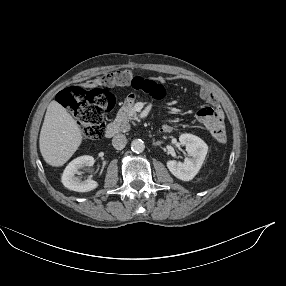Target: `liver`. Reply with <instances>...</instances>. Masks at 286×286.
<instances>
[{
    "instance_id": "liver-1",
    "label": "liver",
    "mask_w": 286,
    "mask_h": 286,
    "mask_svg": "<svg viewBox=\"0 0 286 286\" xmlns=\"http://www.w3.org/2000/svg\"><path fill=\"white\" fill-rule=\"evenodd\" d=\"M82 132L73 117L57 101L47 107L39 137L40 152L51 166H62L78 150Z\"/></svg>"
}]
</instances>
